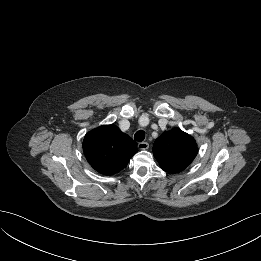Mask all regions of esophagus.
Returning <instances> with one entry per match:
<instances>
[{"instance_id": "esophagus-1", "label": "esophagus", "mask_w": 261, "mask_h": 261, "mask_svg": "<svg viewBox=\"0 0 261 261\" xmlns=\"http://www.w3.org/2000/svg\"><path fill=\"white\" fill-rule=\"evenodd\" d=\"M148 148H149V144L147 142H140V143H138V149L146 150Z\"/></svg>"}]
</instances>
